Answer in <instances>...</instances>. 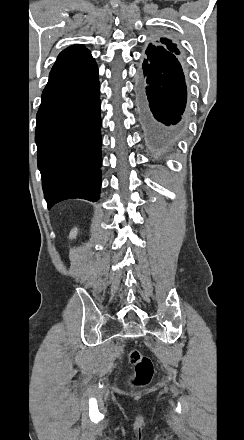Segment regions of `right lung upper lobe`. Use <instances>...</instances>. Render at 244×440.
<instances>
[{
  "label": "right lung upper lobe",
  "mask_w": 244,
  "mask_h": 440,
  "mask_svg": "<svg viewBox=\"0 0 244 440\" xmlns=\"http://www.w3.org/2000/svg\"><path fill=\"white\" fill-rule=\"evenodd\" d=\"M94 63L95 61L92 58L90 51L86 49L85 46L74 45L68 47L59 54L52 70L72 64L86 66Z\"/></svg>",
  "instance_id": "right-lung-upper-lobe-1"
}]
</instances>
